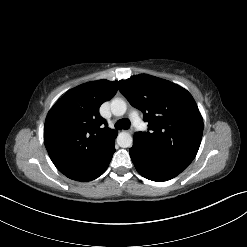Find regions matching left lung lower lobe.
<instances>
[{
    "instance_id": "0a47b994",
    "label": "left lung lower lobe",
    "mask_w": 247,
    "mask_h": 247,
    "mask_svg": "<svg viewBox=\"0 0 247 247\" xmlns=\"http://www.w3.org/2000/svg\"><path fill=\"white\" fill-rule=\"evenodd\" d=\"M132 162L140 175L152 181H167L186 167L163 158L146 145L134 140L129 150Z\"/></svg>"
}]
</instances>
